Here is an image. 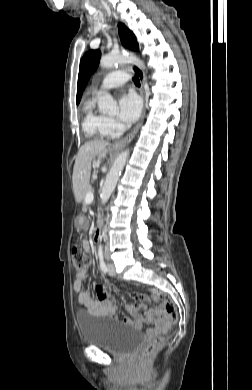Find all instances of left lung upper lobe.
Segmentation results:
<instances>
[{
	"label": "left lung upper lobe",
	"mask_w": 252,
	"mask_h": 390,
	"mask_svg": "<svg viewBox=\"0 0 252 390\" xmlns=\"http://www.w3.org/2000/svg\"><path fill=\"white\" fill-rule=\"evenodd\" d=\"M119 34L124 47L131 50H138L139 45L136 42L134 34L124 25L119 24ZM99 50H89L84 54L80 61L79 75H78V88H77V104L81 100L83 90L95 69L98 66V59L100 58Z\"/></svg>",
	"instance_id": "left-lung-upper-lobe-1"
}]
</instances>
